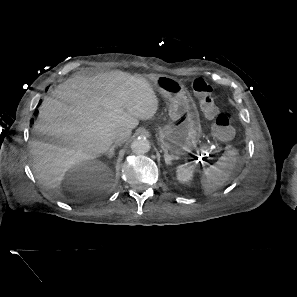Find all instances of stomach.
<instances>
[{"mask_svg": "<svg viewBox=\"0 0 297 297\" xmlns=\"http://www.w3.org/2000/svg\"><path fill=\"white\" fill-rule=\"evenodd\" d=\"M153 86L169 102L172 122L159 129L161 147L175 154L185 155L197 148L202 135L199 113L184 84L176 78L158 76L152 79Z\"/></svg>", "mask_w": 297, "mask_h": 297, "instance_id": "1", "label": "stomach"}]
</instances>
